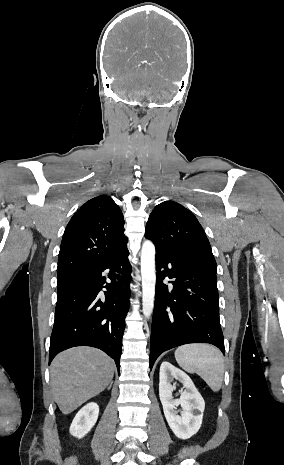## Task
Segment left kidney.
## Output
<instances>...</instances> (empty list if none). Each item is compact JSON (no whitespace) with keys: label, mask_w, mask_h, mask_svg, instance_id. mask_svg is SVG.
<instances>
[{"label":"left kidney","mask_w":284,"mask_h":465,"mask_svg":"<svg viewBox=\"0 0 284 465\" xmlns=\"http://www.w3.org/2000/svg\"><path fill=\"white\" fill-rule=\"evenodd\" d=\"M159 397L163 405L166 421L178 439H190L198 433L203 419L205 403L203 397L198 393L190 377L173 367L168 361H164L160 367ZM173 379L184 385L180 399L172 397L175 385H171ZM176 405H181L182 411H176ZM177 413H182L177 415Z\"/></svg>","instance_id":"left-kidney-1"}]
</instances>
